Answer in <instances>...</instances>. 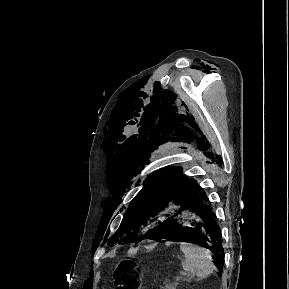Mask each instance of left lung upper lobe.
I'll list each match as a JSON object with an SVG mask.
<instances>
[{"instance_id": "obj_1", "label": "left lung upper lobe", "mask_w": 289, "mask_h": 289, "mask_svg": "<svg viewBox=\"0 0 289 289\" xmlns=\"http://www.w3.org/2000/svg\"><path fill=\"white\" fill-rule=\"evenodd\" d=\"M190 185L198 184L184 177L178 167L151 174L144 182V188L130 203L120 227L110 237L111 246L138 243L155 235L170 216V204L184 187Z\"/></svg>"}]
</instances>
